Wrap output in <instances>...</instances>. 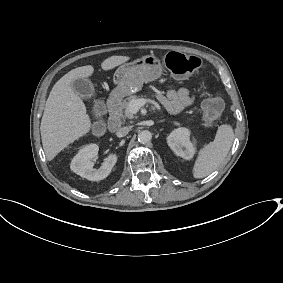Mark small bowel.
I'll use <instances>...</instances> for the list:
<instances>
[{
	"label": "small bowel",
	"instance_id": "1",
	"mask_svg": "<svg viewBox=\"0 0 283 283\" xmlns=\"http://www.w3.org/2000/svg\"><path fill=\"white\" fill-rule=\"evenodd\" d=\"M161 104L170 112L176 113L193 102L189 90L184 87H169L164 94L158 95Z\"/></svg>",
	"mask_w": 283,
	"mask_h": 283
}]
</instances>
